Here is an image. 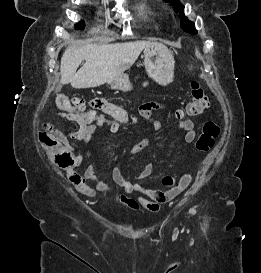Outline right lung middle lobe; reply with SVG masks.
<instances>
[{
    "instance_id": "obj_1",
    "label": "right lung middle lobe",
    "mask_w": 261,
    "mask_h": 273,
    "mask_svg": "<svg viewBox=\"0 0 261 273\" xmlns=\"http://www.w3.org/2000/svg\"><path fill=\"white\" fill-rule=\"evenodd\" d=\"M77 28H84V22L76 24Z\"/></svg>"
}]
</instances>
